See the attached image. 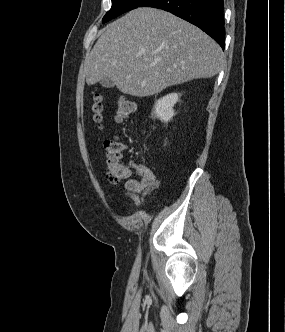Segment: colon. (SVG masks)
Wrapping results in <instances>:
<instances>
[{
	"label": "colon",
	"mask_w": 285,
	"mask_h": 332,
	"mask_svg": "<svg viewBox=\"0 0 285 332\" xmlns=\"http://www.w3.org/2000/svg\"><path fill=\"white\" fill-rule=\"evenodd\" d=\"M136 109V102L128 96H120L117 99L116 117L124 120L129 117ZM92 117L94 122L101 127L102 125V102L99 94L93 98L91 105ZM124 143L119 138H111L105 141V166L107 178L112 183H120L131 176V167L122 159Z\"/></svg>",
	"instance_id": "1"
}]
</instances>
